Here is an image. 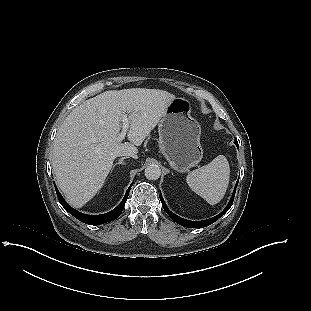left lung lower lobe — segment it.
<instances>
[{
  "instance_id": "1",
  "label": "left lung lower lobe",
  "mask_w": 311,
  "mask_h": 311,
  "mask_svg": "<svg viewBox=\"0 0 311 311\" xmlns=\"http://www.w3.org/2000/svg\"><path fill=\"white\" fill-rule=\"evenodd\" d=\"M235 144L237 145L238 147V142L235 140ZM238 184V182H237ZM237 184L235 186V190L233 192V195L231 197V200L230 202L228 203V205L226 206V208L220 213L218 214L217 216L213 217V218H210V219H207V220H202V221H189V220H186V219H183L177 215H175L173 212H171L165 202H164V199L160 193V200L162 202V206L164 208V210L167 212V214L178 224L184 226V227H189V228H203V227H206L212 223H214L216 220H218L220 217H222L229 209L230 207L232 206L233 204V200H234V195H235V191H236V187H237Z\"/></svg>"
}]
</instances>
